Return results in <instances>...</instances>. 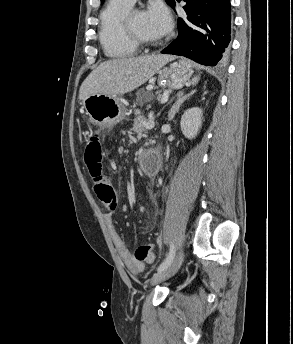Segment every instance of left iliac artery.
I'll return each instance as SVG.
<instances>
[{
	"instance_id": "left-iliac-artery-1",
	"label": "left iliac artery",
	"mask_w": 293,
	"mask_h": 344,
	"mask_svg": "<svg viewBox=\"0 0 293 344\" xmlns=\"http://www.w3.org/2000/svg\"><path fill=\"white\" fill-rule=\"evenodd\" d=\"M174 256H175V247L173 244H171L168 257L158 266L157 271H162L165 268H167L172 263Z\"/></svg>"
}]
</instances>
